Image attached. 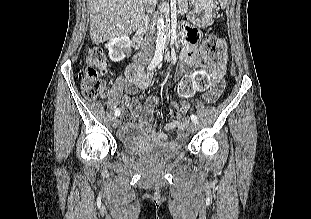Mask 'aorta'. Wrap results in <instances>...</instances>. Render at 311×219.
I'll return each mask as SVG.
<instances>
[{"mask_svg": "<svg viewBox=\"0 0 311 219\" xmlns=\"http://www.w3.org/2000/svg\"><path fill=\"white\" fill-rule=\"evenodd\" d=\"M156 47L158 49H164L166 47L165 24L162 15L157 20Z\"/></svg>", "mask_w": 311, "mask_h": 219, "instance_id": "aorta-1", "label": "aorta"}]
</instances>
